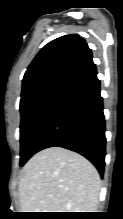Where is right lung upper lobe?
<instances>
[{
  "label": "right lung upper lobe",
  "mask_w": 123,
  "mask_h": 219,
  "mask_svg": "<svg viewBox=\"0 0 123 219\" xmlns=\"http://www.w3.org/2000/svg\"><path fill=\"white\" fill-rule=\"evenodd\" d=\"M94 65L92 52L77 34L59 37L47 45L34 58L25 72L22 94L54 80H71Z\"/></svg>",
  "instance_id": "obj_1"
}]
</instances>
